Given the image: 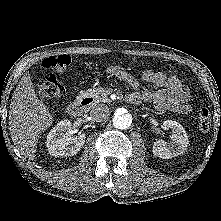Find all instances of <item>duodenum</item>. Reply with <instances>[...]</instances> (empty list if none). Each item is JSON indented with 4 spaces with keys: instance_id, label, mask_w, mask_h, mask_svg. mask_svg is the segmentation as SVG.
Instances as JSON below:
<instances>
[{
    "instance_id": "410a0bca",
    "label": "duodenum",
    "mask_w": 221,
    "mask_h": 221,
    "mask_svg": "<svg viewBox=\"0 0 221 221\" xmlns=\"http://www.w3.org/2000/svg\"><path fill=\"white\" fill-rule=\"evenodd\" d=\"M93 101V98L89 95L82 96L80 99L71 102L67 107V111L72 117H80L83 114L85 108L92 104Z\"/></svg>"
}]
</instances>
